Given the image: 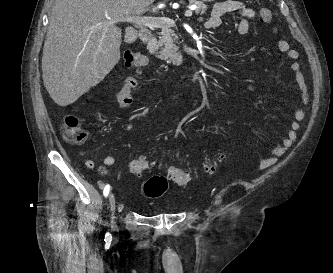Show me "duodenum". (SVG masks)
Segmentation results:
<instances>
[{
    "label": "duodenum",
    "mask_w": 333,
    "mask_h": 273,
    "mask_svg": "<svg viewBox=\"0 0 333 273\" xmlns=\"http://www.w3.org/2000/svg\"><path fill=\"white\" fill-rule=\"evenodd\" d=\"M140 41L148 44L149 46H153L155 43V38L153 33L149 29H141L138 33Z\"/></svg>",
    "instance_id": "1"
}]
</instances>
